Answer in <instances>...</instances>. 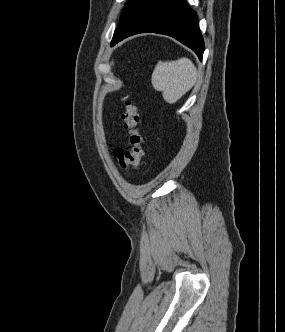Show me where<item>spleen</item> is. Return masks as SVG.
I'll list each match as a JSON object with an SVG mask.
<instances>
[{
    "mask_svg": "<svg viewBox=\"0 0 285 332\" xmlns=\"http://www.w3.org/2000/svg\"><path fill=\"white\" fill-rule=\"evenodd\" d=\"M197 70L192 61L182 57L176 61H159L152 74V85L162 91L167 103H176L196 83Z\"/></svg>",
    "mask_w": 285,
    "mask_h": 332,
    "instance_id": "obj_1",
    "label": "spleen"
}]
</instances>
